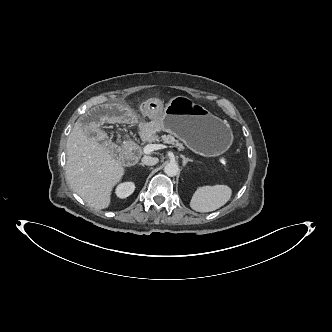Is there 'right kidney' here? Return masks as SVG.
<instances>
[{"label": "right kidney", "mask_w": 332, "mask_h": 332, "mask_svg": "<svg viewBox=\"0 0 332 332\" xmlns=\"http://www.w3.org/2000/svg\"><path fill=\"white\" fill-rule=\"evenodd\" d=\"M135 190V185L132 182H124L118 185L116 194L119 198H126L131 195Z\"/></svg>", "instance_id": "obj_1"}]
</instances>
